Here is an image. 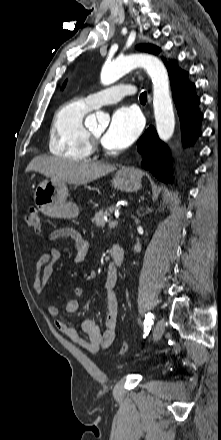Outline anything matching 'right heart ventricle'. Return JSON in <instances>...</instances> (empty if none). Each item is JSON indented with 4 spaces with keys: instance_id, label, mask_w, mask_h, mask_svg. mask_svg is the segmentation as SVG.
I'll use <instances>...</instances> for the list:
<instances>
[{
    "instance_id": "obj_1",
    "label": "right heart ventricle",
    "mask_w": 221,
    "mask_h": 440,
    "mask_svg": "<svg viewBox=\"0 0 221 440\" xmlns=\"http://www.w3.org/2000/svg\"><path fill=\"white\" fill-rule=\"evenodd\" d=\"M92 109L85 99L76 98L56 111L49 135L52 154L72 160H85L91 155L92 146L84 118Z\"/></svg>"
}]
</instances>
